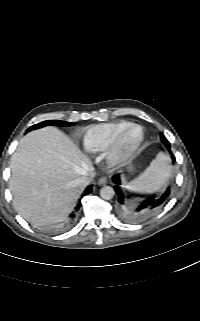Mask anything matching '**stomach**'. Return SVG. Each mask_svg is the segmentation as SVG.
<instances>
[{"label":"stomach","instance_id":"1","mask_svg":"<svg viewBox=\"0 0 200 321\" xmlns=\"http://www.w3.org/2000/svg\"><path fill=\"white\" fill-rule=\"evenodd\" d=\"M129 170H130V171H133V167H129Z\"/></svg>","mask_w":200,"mask_h":321}]
</instances>
